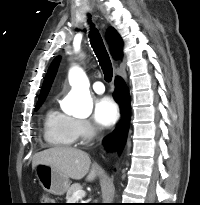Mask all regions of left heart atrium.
<instances>
[{
    "label": "left heart atrium",
    "instance_id": "39dd6f15",
    "mask_svg": "<svg viewBox=\"0 0 200 205\" xmlns=\"http://www.w3.org/2000/svg\"><path fill=\"white\" fill-rule=\"evenodd\" d=\"M119 117V109L110 97H103L95 104L94 118L97 123L104 127L113 125Z\"/></svg>",
    "mask_w": 200,
    "mask_h": 205
}]
</instances>
